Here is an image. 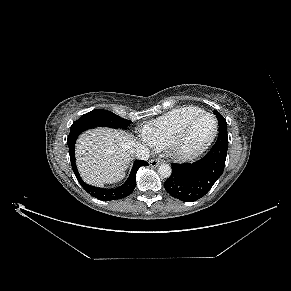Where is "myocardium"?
Listing matches in <instances>:
<instances>
[{"instance_id": "1", "label": "myocardium", "mask_w": 291, "mask_h": 291, "mask_svg": "<svg viewBox=\"0 0 291 291\" xmlns=\"http://www.w3.org/2000/svg\"><path fill=\"white\" fill-rule=\"evenodd\" d=\"M209 116L213 118L214 120V130L210 138L200 147L188 150L184 147L185 140L193 127V125L201 118ZM218 134V120L216 116L212 113L203 112L195 117H193L191 120H189L182 128L181 130L171 139V141L168 144V147L170 149V152L172 155L182 161H188L195 159L202 155L204 152H206L209 147L213 144L214 140L216 139Z\"/></svg>"}]
</instances>
